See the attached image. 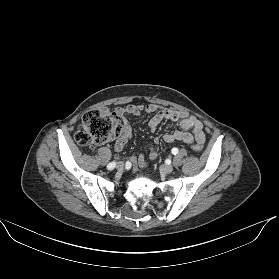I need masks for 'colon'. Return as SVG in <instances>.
Here are the masks:
<instances>
[{
    "instance_id": "obj_1",
    "label": "colon",
    "mask_w": 279,
    "mask_h": 279,
    "mask_svg": "<svg viewBox=\"0 0 279 279\" xmlns=\"http://www.w3.org/2000/svg\"><path fill=\"white\" fill-rule=\"evenodd\" d=\"M123 131L124 125L119 112L93 109L82 116L75 139L83 146H96L114 140ZM189 146L196 152L203 150V146L196 143Z\"/></svg>"
}]
</instances>
